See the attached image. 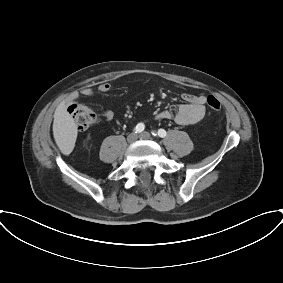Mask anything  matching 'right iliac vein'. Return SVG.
<instances>
[{
  "label": "right iliac vein",
  "instance_id": "1",
  "mask_svg": "<svg viewBox=\"0 0 283 283\" xmlns=\"http://www.w3.org/2000/svg\"><path fill=\"white\" fill-rule=\"evenodd\" d=\"M136 139H137V135L135 133H131L127 137L128 143H133L136 141Z\"/></svg>",
  "mask_w": 283,
  "mask_h": 283
}]
</instances>
